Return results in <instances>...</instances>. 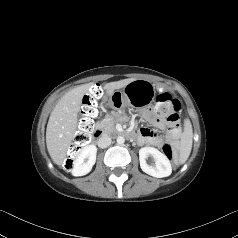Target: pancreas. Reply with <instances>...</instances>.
<instances>
[{"mask_svg": "<svg viewBox=\"0 0 238 238\" xmlns=\"http://www.w3.org/2000/svg\"><path fill=\"white\" fill-rule=\"evenodd\" d=\"M98 126L107 132H112L114 130V121L109 118H104L98 123Z\"/></svg>", "mask_w": 238, "mask_h": 238, "instance_id": "1", "label": "pancreas"}]
</instances>
